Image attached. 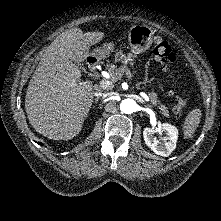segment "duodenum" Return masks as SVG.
Instances as JSON below:
<instances>
[{
	"label": "duodenum",
	"instance_id": "1",
	"mask_svg": "<svg viewBox=\"0 0 221 221\" xmlns=\"http://www.w3.org/2000/svg\"><path fill=\"white\" fill-rule=\"evenodd\" d=\"M95 66H96V59L93 58V57H89V58L87 59V67H88V70H89L90 72L94 71Z\"/></svg>",
	"mask_w": 221,
	"mask_h": 221
}]
</instances>
